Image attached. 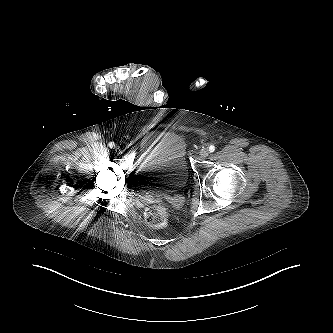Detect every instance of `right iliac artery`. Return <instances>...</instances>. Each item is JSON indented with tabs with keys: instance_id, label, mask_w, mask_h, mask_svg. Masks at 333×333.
<instances>
[{
	"instance_id": "obj_1",
	"label": "right iliac artery",
	"mask_w": 333,
	"mask_h": 333,
	"mask_svg": "<svg viewBox=\"0 0 333 333\" xmlns=\"http://www.w3.org/2000/svg\"><path fill=\"white\" fill-rule=\"evenodd\" d=\"M108 145H109L110 148H115V143L114 142H110Z\"/></svg>"
}]
</instances>
